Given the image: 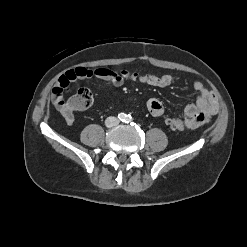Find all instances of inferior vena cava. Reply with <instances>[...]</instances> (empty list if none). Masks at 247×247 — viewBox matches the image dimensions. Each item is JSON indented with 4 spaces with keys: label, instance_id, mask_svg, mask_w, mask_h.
Masks as SVG:
<instances>
[{
    "label": "inferior vena cava",
    "instance_id": "obj_1",
    "mask_svg": "<svg viewBox=\"0 0 247 247\" xmlns=\"http://www.w3.org/2000/svg\"><path fill=\"white\" fill-rule=\"evenodd\" d=\"M119 123L118 119L116 117L110 116L105 120V124L107 127H113L116 126Z\"/></svg>",
    "mask_w": 247,
    "mask_h": 247
}]
</instances>
